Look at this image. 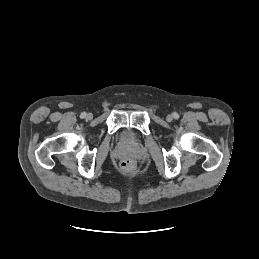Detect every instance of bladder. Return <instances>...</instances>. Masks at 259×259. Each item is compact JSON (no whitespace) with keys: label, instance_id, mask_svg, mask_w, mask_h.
Listing matches in <instances>:
<instances>
[{"label":"bladder","instance_id":"bladder-1","mask_svg":"<svg viewBox=\"0 0 259 259\" xmlns=\"http://www.w3.org/2000/svg\"><path fill=\"white\" fill-rule=\"evenodd\" d=\"M121 140L124 143L131 144L136 140V138L130 131H124L121 135Z\"/></svg>","mask_w":259,"mask_h":259}]
</instances>
